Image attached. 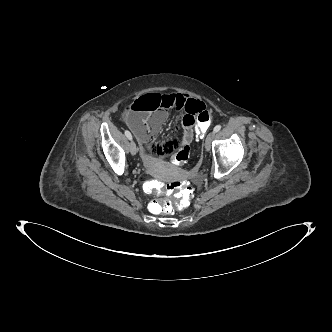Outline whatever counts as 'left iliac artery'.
Listing matches in <instances>:
<instances>
[{
	"label": "left iliac artery",
	"instance_id": "1",
	"mask_svg": "<svg viewBox=\"0 0 332 332\" xmlns=\"http://www.w3.org/2000/svg\"><path fill=\"white\" fill-rule=\"evenodd\" d=\"M220 129H221V125H216L214 127L213 131L216 133V132L220 131Z\"/></svg>",
	"mask_w": 332,
	"mask_h": 332
}]
</instances>
